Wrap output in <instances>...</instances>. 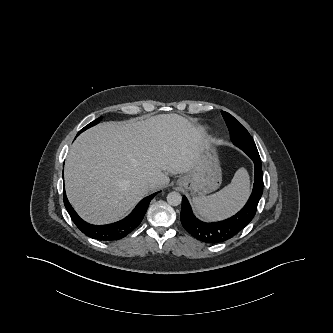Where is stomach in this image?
<instances>
[{
  "label": "stomach",
  "instance_id": "obj_1",
  "mask_svg": "<svg viewBox=\"0 0 333 333\" xmlns=\"http://www.w3.org/2000/svg\"><path fill=\"white\" fill-rule=\"evenodd\" d=\"M222 174L214 147L209 143L202 148L193 168L177 184L190 191L193 198L204 197L221 184Z\"/></svg>",
  "mask_w": 333,
  "mask_h": 333
}]
</instances>
